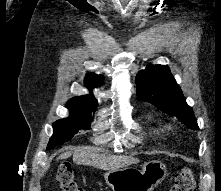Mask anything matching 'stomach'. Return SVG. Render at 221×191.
<instances>
[{"label":"stomach","mask_w":221,"mask_h":191,"mask_svg":"<svg viewBox=\"0 0 221 191\" xmlns=\"http://www.w3.org/2000/svg\"><path fill=\"white\" fill-rule=\"evenodd\" d=\"M165 165L157 160L145 163L142 170L126 167L105 173L106 183L113 191H153L166 176Z\"/></svg>","instance_id":"obj_1"}]
</instances>
